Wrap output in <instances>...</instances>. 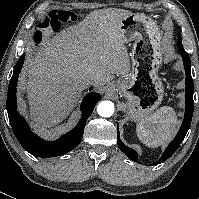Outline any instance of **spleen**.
I'll return each mask as SVG.
<instances>
[{
	"label": "spleen",
	"mask_w": 199,
	"mask_h": 199,
	"mask_svg": "<svg viewBox=\"0 0 199 199\" xmlns=\"http://www.w3.org/2000/svg\"><path fill=\"white\" fill-rule=\"evenodd\" d=\"M177 123L174 109L164 106L141 120L137 124L136 133L143 144L156 148L165 145L173 137Z\"/></svg>",
	"instance_id": "3e777b00"
}]
</instances>
